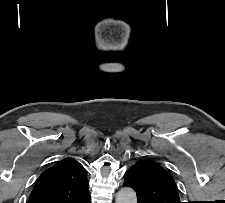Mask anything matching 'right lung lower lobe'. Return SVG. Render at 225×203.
<instances>
[{
  "mask_svg": "<svg viewBox=\"0 0 225 203\" xmlns=\"http://www.w3.org/2000/svg\"><path fill=\"white\" fill-rule=\"evenodd\" d=\"M82 203H90V195L82 201Z\"/></svg>",
  "mask_w": 225,
  "mask_h": 203,
  "instance_id": "98d812e1",
  "label": "right lung lower lobe"
}]
</instances>
